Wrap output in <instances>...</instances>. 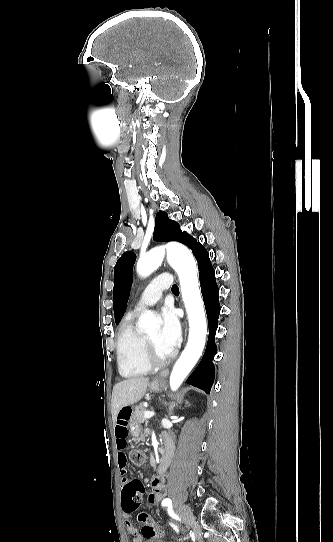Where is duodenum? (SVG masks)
<instances>
[{
	"instance_id": "1",
	"label": "duodenum",
	"mask_w": 333,
	"mask_h": 542,
	"mask_svg": "<svg viewBox=\"0 0 333 542\" xmlns=\"http://www.w3.org/2000/svg\"><path fill=\"white\" fill-rule=\"evenodd\" d=\"M173 455V442L170 436L165 435L163 437V451H162V457L161 460L157 466V474L158 475H164V473L167 471L171 458Z\"/></svg>"
}]
</instances>
